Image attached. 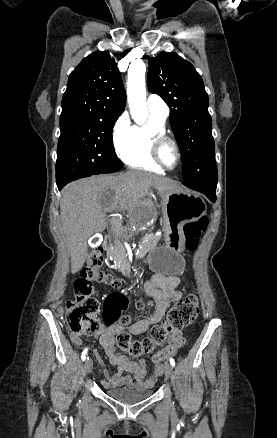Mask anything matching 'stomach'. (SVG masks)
<instances>
[{
	"mask_svg": "<svg viewBox=\"0 0 277 438\" xmlns=\"http://www.w3.org/2000/svg\"><path fill=\"white\" fill-rule=\"evenodd\" d=\"M159 193L162 197L164 245L149 252L147 263L155 273L176 275L185 266L181 255L186 242L183 226L201 218L206 212V204L197 193L182 188L159 190Z\"/></svg>",
	"mask_w": 277,
	"mask_h": 438,
	"instance_id": "stomach-1",
	"label": "stomach"
}]
</instances>
